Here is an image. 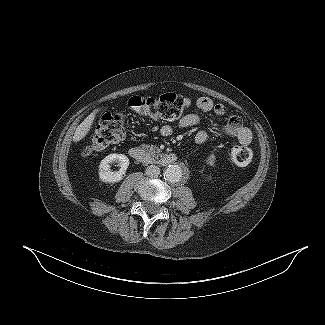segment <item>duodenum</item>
<instances>
[{"label":"duodenum","mask_w":325,"mask_h":325,"mask_svg":"<svg viewBox=\"0 0 325 325\" xmlns=\"http://www.w3.org/2000/svg\"><path fill=\"white\" fill-rule=\"evenodd\" d=\"M129 153L135 160L144 164H159L162 166H168L175 163L177 160V157L174 154L166 153L157 157L140 146H132L129 149Z\"/></svg>","instance_id":"duodenum-1"}]
</instances>
